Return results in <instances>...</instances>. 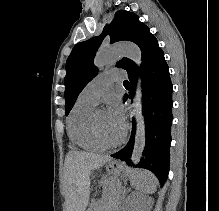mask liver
Returning <instances> with one entry per match:
<instances>
[{"label":"liver","instance_id":"obj_1","mask_svg":"<svg viewBox=\"0 0 219 211\" xmlns=\"http://www.w3.org/2000/svg\"><path fill=\"white\" fill-rule=\"evenodd\" d=\"M111 155L88 151H68L65 157L64 195L67 211H85L90 195L92 169L102 167Z\"/></svg>","mask_w":219,"mask_h":211}]
</instances>
